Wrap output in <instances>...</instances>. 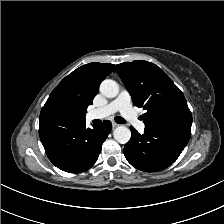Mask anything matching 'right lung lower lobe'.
<instances>
[{
  "label": "right lung lower lobe",
  "mask_w": 224,
  "mask_h": 224,
  "mask_svg": "<svg viewBox=\"0 0 224 224\" xmlns=\"http://www.w3.org/2000/svg\"><path fill=\"white\" fill-rule=\"evenodd\" d=\"M93 127L87 128L85 120L73 121L51 115L39 117V135L48 158L69 173L86 171L97 161L112 125L105 121Z\"/></svg>",
  "instance_id": "obj_1"
}]
</instances>
